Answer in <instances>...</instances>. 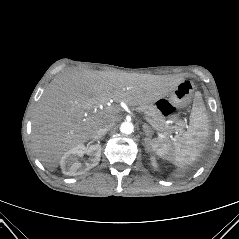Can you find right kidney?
<instances>
[{
	"label": "right kidney",
	"instance_id": "1",
	"mask_svg": "<svg viewBox=\"0 0 239 239\" xmlns=\"http://www.w3.org/2000/svg\"><path fill=\"white\" fill-rule=\"evenodd\" d=\"M87 154L89 158L85 162L79 159ZM101 157V146L99 144L89 147L80 144L67 151L60 160L62 172L69 176H76L89 171L97 166Z\"/></svg>",
	"mask_w": 239,
	"mask_h": 239
}]
</instances>
